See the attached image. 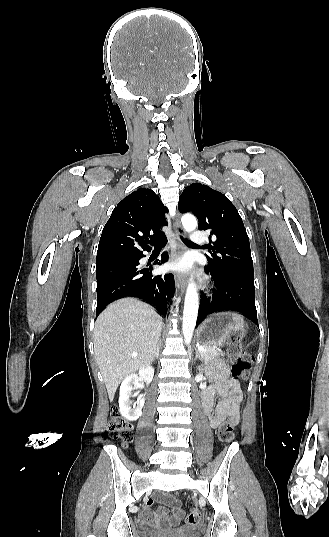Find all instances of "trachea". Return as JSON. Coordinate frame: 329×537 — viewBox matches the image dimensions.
Instances as JSON below:
<instances>
[{
	"mask_svg": "<svg viewBox=\"0 0 329 537\" xmlns=\"http://www.w3.org/2000/svg\"><path fill=\"white\" fill-rule=\"evenodd\" d=\"M182 241L186 244V245H195L194 243H192L191 241H188L184 238H182ZM167 243V237L166 235H162L161 237H159L157 240L155 241H152L151 244L154 246V247H163L165 244Z\"/></svg>",
	"mask_w": 329,
	"mask_h": 537,
	"instance_id": "trachea-1",
	"label": "trachea"
}]
</instances>
